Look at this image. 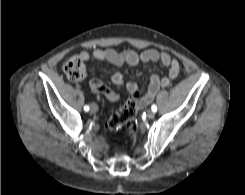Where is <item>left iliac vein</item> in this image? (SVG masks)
Listing matches in <instances>:
<instances>
[{"instance_id":"left-iliac-vein-1","label":"left iliac vein","mask_w":245,"mask_h":195,"mask_svg":"<svg viewBox=\"0 0 245 195\" xmlns=\"http://www.w3.org/2000/svg\"><path fill=\"white\" fill-rule=\"evenodd\" d=\"M148 117L153 119L155 117V113L153 111H148Z\"/></svg>"}]
</instances>
